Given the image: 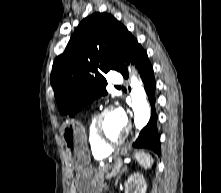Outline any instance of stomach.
<instances>
[{"label":"stomach","mask_w":221,"mask_h":193,"mask_svg":"<svg viewBox=\"0 0 221 193\" xmlns=\"http://www.w3.org/2000/svg\"><path fill=\"white\" fill-rule=\"evenodd\" d=\"M61 133L66 142V152L72 155V167L77 172V190L79 193H92L95 190V182L101 179L98 169L89 162L90 154L87 150V134L84 125L77 120H64Z\"/></svg>","instance_id":"obj_1"}]
</instances>
